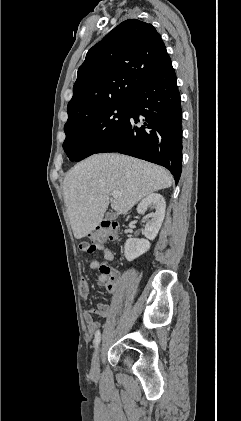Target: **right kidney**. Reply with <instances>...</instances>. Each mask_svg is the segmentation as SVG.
<instances>
[{
  "mask_svg": "<svg viewBox=\"0 0 241 421\" xmlns=\"http://www.w3.org/2000/svg\"><path fill=\"white\" fill-rule=\"evenodd\" d=\"M150 207L155 210L152 219L148 220L144 230L145 239L129 238L124 246V254L128 261H133L150 248L149 240L157 236L165 217L166 202L162 195L152 193L146 196L137 206V212L144 214Z\"/></svg>",
  "mask_w": 241,
  "mask_h": 421,
  "instance_id": "right-kidney-1",
  "label": "right kidney"
}]
</instances>
